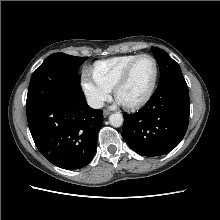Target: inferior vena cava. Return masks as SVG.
<instances>
[{"instance_id":"inferior-vena-cava-1","label":"inferior vena cava","mask_w":220,"mask_h":220,"mask_svg":"<svg viewBox=\"0 0 220 220\" xmlns=\"http://www.w3.org/2000/svg\"><path fill=\"white\" fill-rule=\"evenodd\" d=\"M87 102L88 105L94 109H100L103 107V102L97 98H89Z\"/></svg>"}]
</instances>
